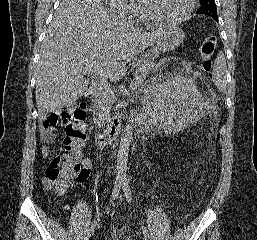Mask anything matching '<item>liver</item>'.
<instances>
[{
  "instance_id": "liver-1",
  "label": "liver",
  "mask_w": 257,
  "mask_h": 240,
  "mask_svg": "<svg viewBox=\"0 0 257 240\" xmlns=\"http://www.w3.org/2000/svg\"><path fill=\"white\" fill-rule=\"evenodd\" d=\"M135 28L114 15L102 0H63L42 43L36 77L40 119L60 112L88 89L85 63L101 61L104 79L117 81L126 62L136 59L162 34Z\"/></svg>"
}]
</instances>
